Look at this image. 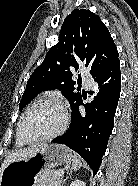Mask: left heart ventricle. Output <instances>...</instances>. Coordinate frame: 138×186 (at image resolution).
<instances>
[{"label": "left heart ventricle", "instance_id": "1", "mask_svg": "<svg viewBox=\"0 0 138 186\" xmlns=\"http://www.w3.org/2000/svg\"><path fill=\"white\" fill-rule=\"evenodd\" d=\"M63 123V112L56 106L44 105L33 109L25 118L23 133L29 138L47 136Z\"/></svg>", "mask_w": 138, "mask_h": 186}]
</instances>
